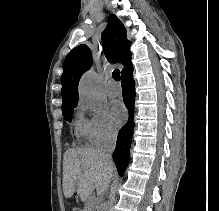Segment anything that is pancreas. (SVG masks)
<instances>
[{"label": "pancreas", "instance_id": "obj_1", "mask_svg": "<svg viewBox=\"0 0 219 211\" xmlns=\"http://www.w3.org/2000/svg\"><path fill=\"white\" fill-rule=\"evenodd\" d=\"M87 204H88V207L87 209H85V211H95V209H99V207H97L96 205L95 200H88Z\"/></svg>", "mask_w": 219, "mask_h": 211}]
</instances>
